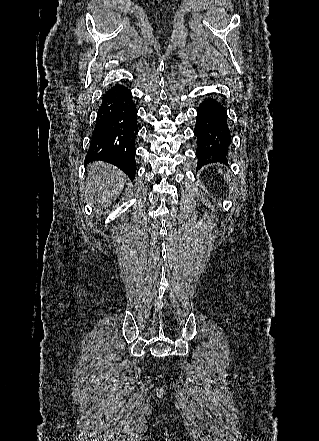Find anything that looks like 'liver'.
Returning <instances> with one entry per match:
<instances>
[{
    "label": "liver",
    "instance_id": "liver-1",
    "mask_svg": "<svg viewBox=\"0 0 319 441\" xmlns=\"http://www.w3.org/2000/svg\"><path fill=\"white\" fill-rule=\"evenodd\" d=\"M88 167L86 189L82 190V196L85 201L104 208L121 194L127 176L104 162H93Z\"/></svg>",
    "mask_w": 319,
    "mask_h": 441
}]
</instances>
